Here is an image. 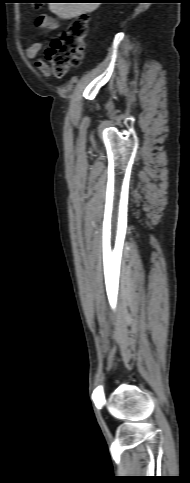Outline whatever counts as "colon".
<instances>
[{
  "instance_id": "colon-1",
  "label": "colon",
  "mask_w": 190,
  "mask_h": 483,
  "mask_svg": "<svg viewBox=\"0 0 190 483\" xmlns=\"http://www.w3.org/2000/svg\"><path fill=\"white\" fill-rule=\"evenodd\" d=\"M87 17L82 14L70 22L61 36L52 41L45 52L46 73L61 78L73 67L80 64L87 35Z\"/></svg>"
}]
</instances>
